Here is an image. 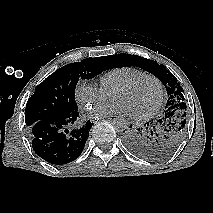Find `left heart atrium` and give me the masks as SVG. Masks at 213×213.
I'll return each instance as SVG.
<instances>
[{
  "instance_id": "39dd6f15",
  "label": "left heart atrium",
  "mask_w": 213,
  "mask_h": 213,
  "mask_svg": "<svg viewBox=\"0 0 213 213\" xmlns=\"http://www.w3.org/2000/svg\"><path fill=\"white\" fill-rule=\"evenodd\" d=\"M107 115H123L130 116L131 112L129 108L120 101H114L112 103L98 105L92 109L91 116L102 117Z\"/></svg>"
}]
</instances>
